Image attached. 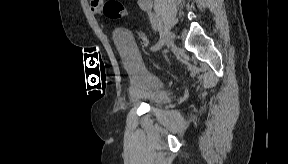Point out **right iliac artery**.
<instances>
[{
  "label": "right iliac artery",
  "mask_w": 288,
  "mask_h": 164,
  "mask_svg": "<svg viewBox=\"0 0 288 164\" xmlns=\"http://www.w3.org/2000/svg\"><path fill=\"white\" fill-rule=\"evenodd\" d=\"M151 20L153 22V25H154V28L156 31H158L159 33V41L150 48V50L152 52H156L157 50H159L162 45H163V40H162V32H161V28H160V24L158 23V20L154 17V16H151Z\"/></svg>",
  "instance_id": "1"
}]
</instances>
